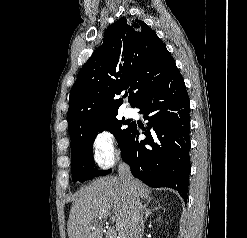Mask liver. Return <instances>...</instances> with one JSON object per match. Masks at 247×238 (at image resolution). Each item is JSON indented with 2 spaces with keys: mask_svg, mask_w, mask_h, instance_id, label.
Wrapping results in <instances>:
<instances>
[{
  "mask_svg": "<svg viewBox=\"0 0 247 238\" xmlns=\"http://www.w3.org/2000/svg\"><path fill=\"white\" fill-rule=\"evenodd\" d=\"M140 198L150 199V190L135 180ZM112 211L111 220L121 238H129L130 198L121 180L106 176L82 187L75 196L69 221V238H102V219Z\"/></svg>",
  "mask_w": 247,
  "mask_h": 238,
  "instance_id": "1",
  "label": "liver"
}]
</instances>
